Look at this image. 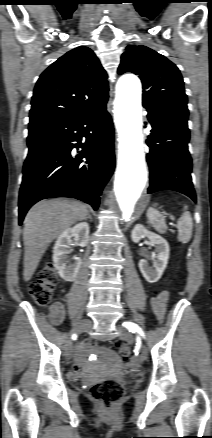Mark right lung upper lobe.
<instances>
[{"label":"right lung upper lobe","mask_w":212,"mask_h":438,"mask_svg":"<svg viewBox=\"0 0 212 438\" xmlns=\"http://www.w3.org/2000/svg\"><path fill=\"white\" fill-rule=\"evenodd\" d=\"M107 74L93 51L77 47L50 65L38 79L31 102L30 124L79 117L106 105Z\"/></svg>","instance_id":"cb5924a9"}]
</instances>
